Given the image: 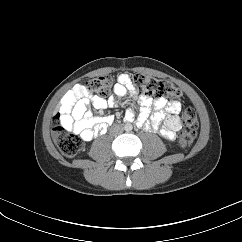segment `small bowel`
Returning <instances> with one entry per match:
<instances>
[{"mask_svg": "<svg viewBox=\"0 0 242 242\" xmlns=\"http://www.w3.org/2000/svg\"><path fill=\"white\" fill-rule=\"evenodd\" d=\"M114 93L117 97H124L127 93L136 96V90L126 75H120L118 82L114 87ZM140 105L137 117V125L146 124L149 129L157 130L162 122L164 127L160 130L162 136L169 140H174L176 132L180 129V120L178 114L182 109L179 101H167L164 98L152 99L146 95L138 97ZM116 104L114 98L105 99L96 95H87L82 86L74 87L63 99L61 106V115L63 125L73 133L80 135L84 140H91L93 137L103 132L108 125L113 122V116L94 115L89 106L94 110L101 111L107 106ZM156 112L148 117L151 107ZM135 118V111L129 108L125 112V119L132 121Z\"/></svg>", "mask_w": 242, "mask_h": 242, "instance_id": "obj_1", "label": "small bowel"}]
</instances>
